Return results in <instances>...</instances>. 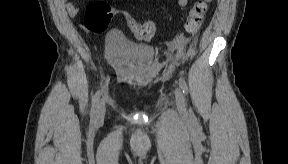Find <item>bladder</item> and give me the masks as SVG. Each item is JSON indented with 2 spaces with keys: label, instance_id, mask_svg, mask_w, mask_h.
Here are the masks:
<instances>
[{
  "label": "bladder",
  "instance_id": "bladder-1",
  "mask_svg": "<svg viewBox=\"0 0 288 164\" xmlns=\"http://www.w3.org/2000/svg\"><path fill=\"white\" fill-rule=\"evenodd\" d=\"M105 52L121 81L128 83L142 79L155 58L151 45L129 42L117 36L110 38Z\"/></svg>",
  "mask_w": 288,
  "mask_h": 164
}]
</instances>
